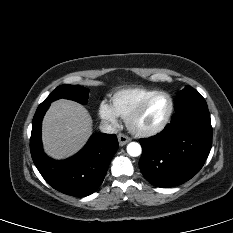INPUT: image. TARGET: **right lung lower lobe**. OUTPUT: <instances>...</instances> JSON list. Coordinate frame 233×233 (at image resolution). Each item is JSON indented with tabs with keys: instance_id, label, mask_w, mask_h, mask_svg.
I'll list each match as a JSON object with an SVG mask.
<instances>
[{
	"instance_id": "1",
	"label": "right lung lower lobe",
	"mask_w": 233,
	"mask_h": 233,
	"mask_svg": "<svg viewBox=\"0 0 233 233\" xmlns=\"http://www.w3.org/2000/svg\"><path fill=\"white\" fill-rule=\"evenodd\" d=\"M50 104H40L32 122L30 152L45 181L54 189L71 196L94 193L104 180L110 161L118 149L116 135L96 133L75 156L55 161L42 149L41 123Z\"/></svg>"
}]
</instances>
